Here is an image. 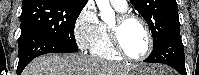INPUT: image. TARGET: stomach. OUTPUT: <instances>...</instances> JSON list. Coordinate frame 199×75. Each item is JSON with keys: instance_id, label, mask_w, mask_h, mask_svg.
Returning a JSON list of instances; mask_svg holds the SVG:
<instances>
[{"instance_id": "stomach-1", "label": "stomach", "mask_w": 199, "mask_h": 75, "mask_svg": "<svg viewBox=\"0 0 199 75\" xmlns=\"http://www.w3.org/2000/svg\"><path fill=\"white\" fill-rule=\"evenodd\" d=\"M164 67L156 64H138L129 71L128 75H164Z\"/></svg>"}]
</instances>
